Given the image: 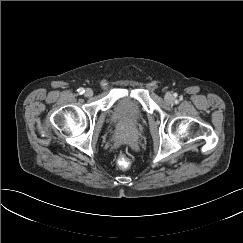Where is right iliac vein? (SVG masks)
<instances>
[{"label": "right iliac vein", "mask_w": 243, "mask_h": 243, "mask_svg": "<svg viewBox=\"0 0 243 243\" xmlns=\"http://www.w3.org/2000/svg\"><path fill=\"white\" fill-rule=\"evenodd\" d=\"M84 95H85L86 97H91V96L93 95V91H92V89L87 88V89L85 90V92H84Z\"/></svg>", "instance_id": "right-iliac-vein-1"}]
</instances>
